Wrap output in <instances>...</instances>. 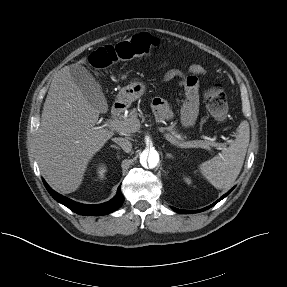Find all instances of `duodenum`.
<instances>
[{
    "mask_svg": "<svg viewBox=\"0 0 287 287\" xmlns=\"http://www.w3.org/2000/svg\"><path fill=\"white\" fill-rule=\"evenodd\" d=\"M125 109V104L122 101H116L111 107L112 117L119 116Z\"/></svg>",
    "mask_w": 287,
    "mask_h": 287,
    "instance_id": "obj_1",
    "label": "duodenum"
}]
</instances>
